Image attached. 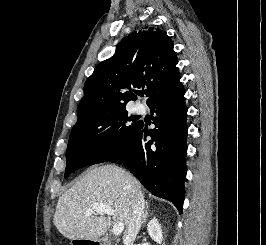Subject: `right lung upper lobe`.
<instances>
[{
  "instance_id": "right-lung-upper-lobe-1",
  "label": "right lung upper lobe",
  "mask_w": 266,
  "mask_h": 245,
  "mask_svg": "<svg viewBox=\"0 0 266 245\" xmlns=\"http://www.w3.org/2000/svg\"><path fill=\"white\" fill-rule=\"evenodd\" d=\"M177 55L165 31L143 28L130 33L115 54L99 63L84 85L78 120L125 108L136 99L133 88L147 87V104L179 82Z\"/></svg>"
}]
</instances>
